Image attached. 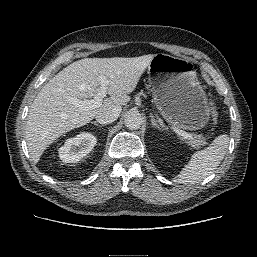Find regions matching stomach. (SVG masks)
I'll use <instances>...</instances> for the list:
<instances>
[{
	"label": "stomach",
	"mask_w": 257,
	"mask_h": 257,
	"mask_svg": "<svg viewBox=\"0 0 257 257\" xmlns=\"http://www.w3.org/2000/svg\"><path fill=\"white\" fill-rule=\"evenodd\" d=\"M148 73L154 102L168 122L194 131L208 124V99L196 80L192 61L156 54L148 66Z\"/></svg>",
	"instance_id": "obj_1"
}]
</instances>
